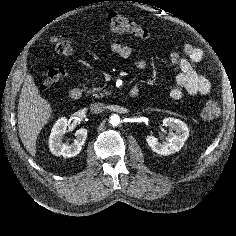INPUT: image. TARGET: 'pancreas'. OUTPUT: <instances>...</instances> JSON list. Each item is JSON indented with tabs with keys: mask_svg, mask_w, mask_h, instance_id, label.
<instances>
[{
	"mask_svg": "<svg viewBox=\"0 0 236 236\" xmlns=\"http://www.w3.org/2000/svg\"><path fill=\"white\" fill-rule=\"evenodd\" d=\"M92 89L87 90L86 94L87 96L92 95L95 98L103 97L105 94H108L107 90H103L102 87H97L98 85H101L102 83L98 80V78H94L92 81Z\"/></svg>",
	"mask_w": 236,
	"mask_h": 236,
	"instance_id": "1",
	"label": "pancreas"
}]
</instances>
